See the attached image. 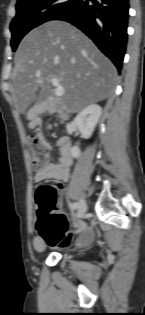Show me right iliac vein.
Returning <instances> with one entry per match:
<instances>
[{
	"instance_id": "obj_1",
	"label": "right iliac vein",
	"mask_w": 145,
	"mask_h": 315,
	"mask_svg": "<svg viewBox=\"0 0 145 315\" xmlns=\"http://www.w3.org/2000/svg\"><path fill=\"white\" fill-rule=\"evenodd\" d=\"M86 209H87L86 201L84 199H81L79 201L77 215H76V218H75L76 221H78L79 219H81L84 216V214L86 212Z\"/></svg>"
}]
</instances>
